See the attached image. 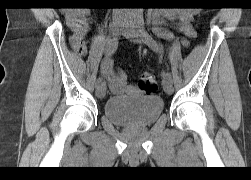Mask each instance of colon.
<instances>
[{
	"mask_svg": "<svg viewBox=\"0 0 251 180\" xmlns=\"http://www.w3.org/2000/svg\"><path fill=\"white\" fill-rule=\"evenodd\" d=\"M138 87L140 91L145 94H152L157 89V81L153 74L151 73H144L141 75L138 83Z\"/></svg>",
	"mask_w": 251,
	"mask_h": 180,
	"instance_id": "colon-1",
	"label": "colon"
}]
</instances>
